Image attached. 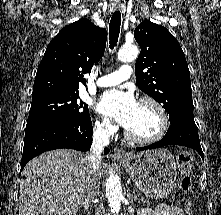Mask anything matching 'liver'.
<instances>
[{
    "label": "liver",
    "instance_id": "6515ba94",
    "mask_svg": "<svg viewBox=\"0 0 221 215\" xmlns=\"http://www.w3.org/2000/svg\"><path fill=\"white\" fill-rule=\"evenodd\" d=\"M21 175L18 215H76L90 163L81 152L57 149L29 161Z\"/></svg>",
    "mask_w": 221,
    "mask_h": 215
}]
</instances>
